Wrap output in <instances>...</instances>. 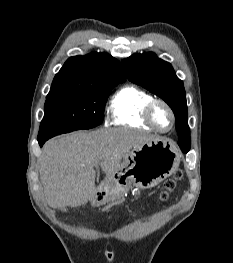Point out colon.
Wrapping results in <instances>:
<instances>
[{"label":"colon","mask_w":233,"mask_h":263,"mask_svg":"<svg viewBox=\"0 0 233 263\" xmlns=\"http://www.w3.org/2000/svg\"><path fill=\"white\" fill-rule=\"evenodd\" d=\"M182 177V172L178 170L173 178L167 179L164 183V188L160 194V200L165 201L169 194L176 188L177 181Z\"/></svg>","instance_id":"obj_1"}]
</instances>
